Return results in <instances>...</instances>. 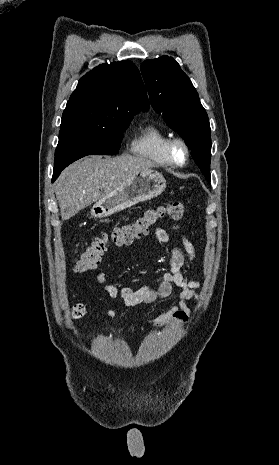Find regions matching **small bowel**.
<instances>
[{"label": "small bowel", "mask_w": 279, "mask_h": 465, "mask_svg": "<svg viewBox=\"0 0 279 465\" xmlns=\"http://www.w3.org/2000/svg\"><path fill=\"white\" fill-rule=\"evenodd\" d=\"M173 229L181 230V227L174 225ZM154 237L158 244H165L169 240L168 232L163 228H157L154 232ZM182 244L183 250L177 247L171 249L170 272L163 276L162 281L156 288L145 285L133 290L129 287L119 288L114 285H108L105 283L106 277L103 273L98 275L97 281L111 299L121 300L129 307L140 304H151L159 299L167 298L171 295L173 288L176 287L180 290L178 305L147 321V324L150 326H162L165 324L185 323L189 317L186 302L198 298L197 289L199 288V282L187 279L185 276L189 264L196 258L195 247L185 235L182 236ZM107 315L113 318L114 312L108 310Z\"/></svg>", "instance_id": "obj_1"}]
</instances>
